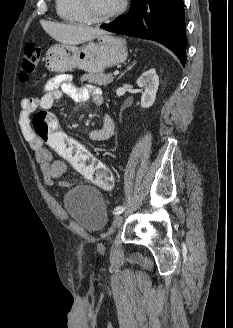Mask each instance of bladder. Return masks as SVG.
<instances>
[{
  "label": "bladder",
  "mask_w": 233,
  "mask_h": 328,
  "mask_svg": "<svg viewBox=\"0 0 233 328\" xmlns=\"http://www.w3.org/2000/svg\"><path fill=\"white\" fill-rule=\"evenodd\" d=\"M63 206L68 215L89 232L98 231L107 223L105 201L92 187H73L65 193Z\"/></svg>",
  "instance_id": "bladder-1"
}]
</instances>
